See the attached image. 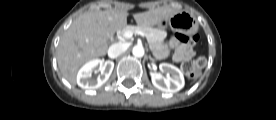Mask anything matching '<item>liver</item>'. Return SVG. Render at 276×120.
I'll return each instance as SVG.
<instances>
[{
  "label": "liver",
  "mask_w": 276,
  "mask_h": 120,
  "mask_svg": "<svg viewBox=\"0 0 276 120\" xmlns=\"http://www.w3.org/2000/svg\"><path fill=\"white\" fill-rule=\"evenodd\" d=\"M178 12L170 7H160L133 17L139 26H154ZM126 11L95 10L78 17L62 36L57 48V62L62 76L76 84L78 69L87 61L104 56L108 39L127 25Z\"/></svg>",
  "instance_id": "1"
}]
</instances>
